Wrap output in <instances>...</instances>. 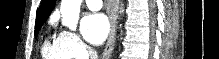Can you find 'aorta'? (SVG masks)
I'll use <instances>...</instances> for the list:
<instances>
[{"label":"aorta","instance_id":"aorta-1","mask_svg":"<svg viewBox=\"0 0 219 59\" xmlns=\"http://www.w3.org/2000/svg\"><path fill=\"white\" fill-rule=\"evenodd\" d=\"M82 0H62L61 1V17L62 24L70 30L75 31L77 28L80 6Z\"/></svg>","mask_w":219,"mask_h":59}]
</instances>
